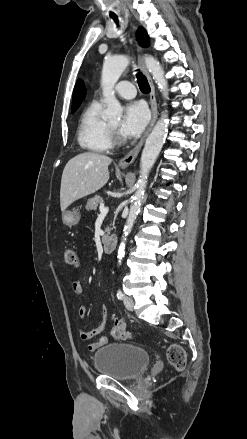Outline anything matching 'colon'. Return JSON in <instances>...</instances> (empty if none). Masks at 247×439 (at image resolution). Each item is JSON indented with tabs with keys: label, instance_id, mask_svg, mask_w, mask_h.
<instances>
[{
	"label": "colon",
	"instance_id": "colon-1",
	"mask_svg": "<svg viewBox=\"0 0 247 439\" xmlns=\"http://www.w3.org/2000/svg\"><path fill=\"white\" fill-rule=\"evenodd\" d=\"M64 259L66 264L70 266H76L78 263L76 252L73 249L65 251ZM112 335L118 340H128L133 337L132 332L127 329L126 324L121 320L115 322ZM167 359L174 368L182 370L186 363L185 350L178 344H172L167 350Z\"/></svg>",
	"mask_w": 247,
	"mask_h": 439
}]
</instances>
